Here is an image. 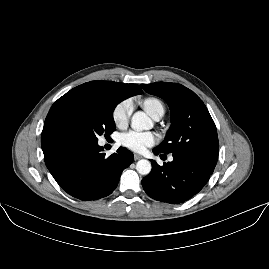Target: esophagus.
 Here are the masks:
<instances>
[{"label": "esophagus", "instance_id": "obj_1", "mask_svg": "<svg viewBox=\"0 0 269 269\" xmlns=\"http://www.w3.org/2000/svg\"><path fill=\"white\" fill-rule=\"evenodd\" d=\"M142 158H143L142 155L134 154V160H135V161H136V160H140V159H142Z\"/></svg>", "mask_w": 269, "mask_h": 269}]
</instances>
